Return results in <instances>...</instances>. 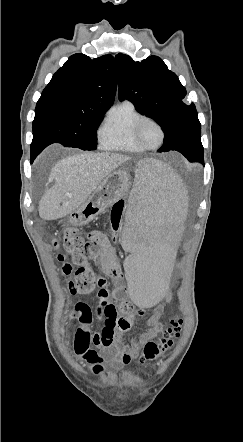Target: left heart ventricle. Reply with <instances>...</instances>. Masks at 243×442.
<instances>
[{
  "mask_svg": "<svg viewBox=\"0 0 243 442\" xmlns=\"http://www.w3.org/2000/svg\"><path fill=\"white\" fill-rule=\"evenodd\" d=\"M140 137L149 146L156 145L161 138L159 128L152 122H146L141 126Z\"/></svg>",
  "mask_w": 243,
  "mask_h": 442,
  "instance_id": "1",
  "label": "left heart ventricle"
}]
</instances>
